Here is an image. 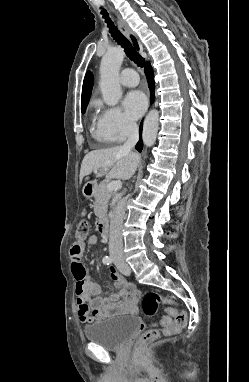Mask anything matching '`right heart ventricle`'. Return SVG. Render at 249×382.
I'll return each mask as SVG.
<instances>
[{
	"instance_id": "obj_1",
	"label": "right heart ventricle",
	"mask_w": 249,
	"mask_h": 382,
	"mask_svg": "<svg viewBox=\"0 0 249 382\" xmlns=\"http://www.w3.org/2000/svg\"><path fill=\"white\" fill-rule=\"evenodd\" d=\"M93 132H94V134H95L98 138H100V139H102V140H104V141H107V142H112L110 139H108V138L104 135V133L102 132V130H101V128H100V126H99L98 123L94 125V127H93Z\"/></svg>"
}]
</instances>
